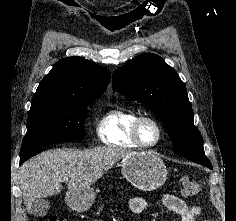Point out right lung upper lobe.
Here are the masks:
<instances>
[{"label": "right lung upper lobe", "mask_w": 236, "mask_h": 221, "mask_svg": "<svg viewBox=\"0 0 236 221\" xmlns=\"http://www.w3.org/2000/svg\"><path fill=\"white\" fill-rule=\"evenodd\" d=\"M109 80L106 68L77 56L63 58L42 79L32 100L94 101Z\"/></svg>", "instance_id": "1"}]
</instances>
